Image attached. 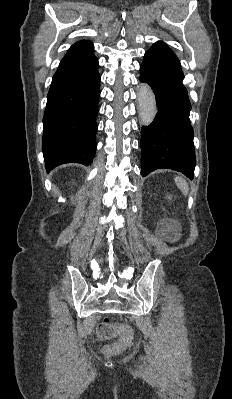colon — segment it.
I'll list each match as a JSON object with an SVG mask.
<instances>
[{"label":"colon","instance_id":"1","mask_svg":"<svg viewBox=\"0 0 232 399\" xmlns=\"http://www.w3.org/2000/svg\"><path fill=\"white\" fill-rule=\"evenodd\" d=\"M128 321H99L96 328V337H100L101 341H115L120 328H128Z\"/></svg>","mask_w":232,"mask_h":399}]
</instances>
